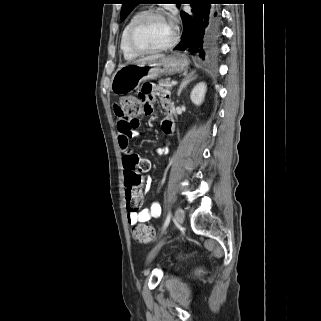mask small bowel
<instances>
[{
	"label": "small bowel",
	"instance_id": "c3829d8e",
	"mask_svg": "<svg viewBox=\"0 0 321 321\" xmlns=\"http://www.w3.org/2000/svg\"><path fill=\"white\" fill-rule=\"evenodd\" d=\"M158 96L161 104L166 111V117L162 121V130L165 134L170 135L174 130V119L172 113V102L170 99V94L167 90L157 88L152 84L150 80H143L142 87H139L138 91L134 92L135 98H143L145 102L150 104L154 103V97ZM116 109V108H115ZM118 117V116H117ZM139 123H132L130 121H125L122 118L118 117L116 122L117 127V140L118 145L123 153V165L127 160L137 155L129 146L131 139L137 138L140 133L137 128ZM165 148H158L156 152L160 155L165 153ZM151 179H146V186H150ZM161 215V205L159 203H153L150 208L142 209L140 211H130L127 212V223L131 226H135L140 223H146L151 219H156Z\"/></svg>",
	"mask_w": 321,
	"mask_h": 321
}]
</instances>
